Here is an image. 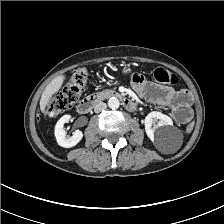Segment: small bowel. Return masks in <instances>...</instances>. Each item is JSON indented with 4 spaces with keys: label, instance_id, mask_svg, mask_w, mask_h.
Masks as SVG:
<instances>
[{
    "label": "small bowel",
    "instance_id": "small-bowel-1",
    "mask_svg": "<svg viewBox=\"0 0 224 224\" xmlns=\"http://www.w3.org/2000/svg\"><path fill=\"white\" fill-rule=\"evenodd\" d=\"M132 87L146 101L160 106L171 107L178 123L183 124L189 120V107L193 101V96L189 91L161 86L146 80L141 75L132 77ZM184 114H187V117H184Z\"/></svg>",
    "mask_w": 224,
    "mask_h": 224
}]
</instances>
